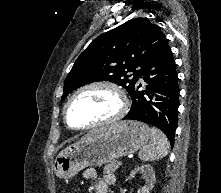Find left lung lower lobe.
Segmentation results:
<instances>
[{
    "mask_svg": "<svg viewBox=\"0 0 221 193\" xmlns=\"http://www.w3.org/2000/svg\"><path fill=\"white\" fill-rule=\"evenodd\" d=\"M143 78L147 84L139 88ZM178 75L172 51L166 43L159 54L143 67L131 96L132 106L124 119L137 120L161 129L174 144L179 107Z\"/></svg>",
    "mask_w": 221,
    "mask_h": 193,
    "instance_id": "obj_1",
    "label": "left lung lower lobe"
}]
</instances>
